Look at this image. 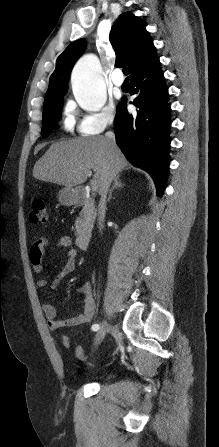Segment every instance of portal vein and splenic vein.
Wrapping results in <instances>:
<instances>
[{
    "label": "portal vein and splenic vein",
    "instance_id": "portal-vein-and-splenic-vein-1",
    "mask_svg": "<svg viewBox=\"0 0 219 447\" xmlns=\"http://www.w3.org/2000/svg\"><path fill=\"white\" fill-rule=\"evenodd\" d=\"M91 189L92 191H96L97 190V183L95 180L91 181Z\"/></svg>",
    "mask_w": 219,
    "mask_h": 447
}]
</instances>
